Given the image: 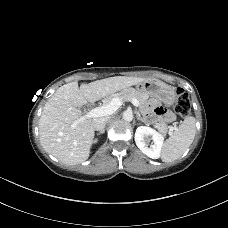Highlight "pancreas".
<instances>
[{
	"label": "pancreas",
	"mask_w": 228,
	"mask_h": 228,
	"mask_svg": "<svg viewBox=\"0 0 228 228\" xmlns=\"http://www.w3.org/2000/svg\"><path fill=\"white\" fill-rule=\"evenodd\" d=\"M113 98H119L121 101H130V102L132 99H136L139 101L140 106H144L149 96L146 93L141 92L137 89L127 88L107 97L106 99L103 100V103L108 104L111 102ZM154 127L163 134H166L168 130L171 129V127H168L165 123H156Z\"/></svg>",
	"instance_id": "pancreas-1"
}]
</instances>
